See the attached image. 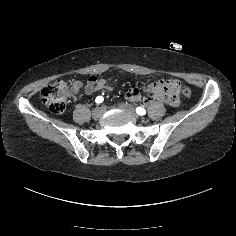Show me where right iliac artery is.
Segmentation results:
<instances>
[{
	"label": "right iliac artery",
	"instance_id": "82829eb1",
	"mask_svg": "<svg viewBox=\"0 0 236 236\" xmlns=\"http://www.w3.org/2000/svg\"><path fill=\"white\" fill-rule=\"evenodd\" d=\"M103 100H104V99H103L102 96H98V97L95 99V102L99 104V103H102Z\"/></svg>",
	"mask_w": 236,
	"mask_h": 236
}]
</instances>
